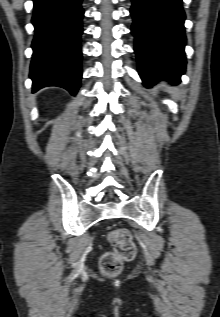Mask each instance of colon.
Here are the masks:
<instances>
[{
    "mask_svg": "<svg viewBox=\"0 0 220 317\" xmlns=\"http://www.w3.org/2000/svg\"><path fill=\"white\" fill-rule=\"evenodd\" d=\"M110 241L114 244V250L103 255L100 267L104 275L116 276L125 262L134 259L136 246L131 233L125 228L114 229L110 234Z\"/></svg>",
    "mask_w": 220,
    "mask_h": 317,
    "instance_id": "1",
    "label": "colon"
}]
</instances>
